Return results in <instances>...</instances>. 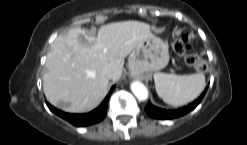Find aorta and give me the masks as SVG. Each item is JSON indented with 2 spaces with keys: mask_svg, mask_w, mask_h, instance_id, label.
<instances>
[{
  "mask_svg": "<svg viewBox=\"0 0 247 145\" xmlns=\"http://www.w3.org/2000/svg\"><path fill=\"white\" fill-rule=\"evenodd\" d=\"M131 91L136 96V98L140 101L147 100L148 98V90L145 85L139 81H134L131 83Z\"/></svg>",
  "mask_w": 247,
  "mask_h": 145,
  "instance_id": "1",
  "label": "aorta"
}]
</instances>
